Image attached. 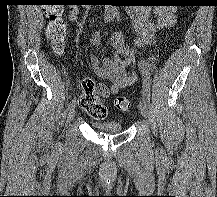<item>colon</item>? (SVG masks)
I'll list each match as a JSON object with an SVG mask.
<instances>
[{
    "mask_svg": "<svg viewBox=\"0 0 217 197\" xmlns=\"http://www.w3.org/2000/svg\"><path fill=\"white\" fill-rule=\"evenodd\" d=\"M43 11L49 23L46 35L50 41L53 51L57 54L63 51L68 27L64 20V4L62 0H45ZM108 93V88L96 83L92 79H84L82 82V96L80 98L81 108L93 119L101 121L107 116V108L101 101ZM118 110L126 111L130 107V101L125 97H118L115 100Z\"/></svg>",
    "mask_w": 217,
    "mask_h": 197,
    "instance_id": "1",
    "label": "colon"
}]
</instances>
